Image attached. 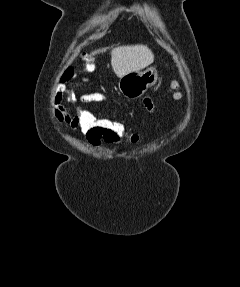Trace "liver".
I'll list each match as a JSON object with an SVG mask.
<instances>
[{
    "instance_id": "6515ba94",
    "label": "liver",
    "mask_w": 240,
    "mask_h": 287,
    "mask_svg": "<svg viewBox=\"0 0 240 287\" xmlns=\"http://www.w3.org/2000/svg\"><path fill=\"white\" fill-rule=\"evenodd\" d=\"M105 50V48L95 50L89 57L103 53ZM153 61L154 55L146 45L118 46L111 50V66L118 77L143 69Z\"/></svg>"
}]
</instances>
